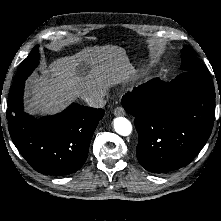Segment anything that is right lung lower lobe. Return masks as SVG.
Listing matches in <instances>:
<instances>
[{
	"instance_id": "right-lung-lower-lobe-1",
	"label": "right lung lower lobe",
	"mask_w": 221,
	"mask_h": 221,
	"mask_svg": "<svg viewBox=\"0 0 221 221\" xmlns=\"http://www.w3.org/2000/svg\"><path fill=\"white\" fill-rule=\"evenodd\" d=\"M24 84L25 80L14 83L8 96L6 114L13 143L39 173H74L86 161L104 110L73 103L59 114L36 119L23 111Z\"/></svg>"
}]
</instances>
